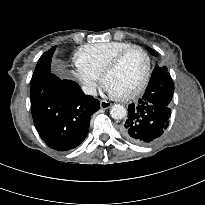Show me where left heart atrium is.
<instances>
[{
  "label": "left heart atrium",
  "instance_id": "1",
  "mask_svg": "<svg viewBox=\"0 0 205 205\" xmlns=\"http://www.w3.org/2000/svg\"><path fill=\"white\" fill-rule=\"evenodd\" d=\"M107 91L112 94V95H116L115 93H113L111 90H109L107 87H106Z\"/></svg>",
  "mask_w": 205,
  "mask_h": 205
}]
</instances>
